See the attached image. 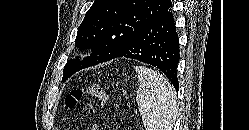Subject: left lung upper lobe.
<instances>
[{
  "label": "left lung upper lobe",
  "mask_w": 249,
  "mask_h": 130,
  "mask_svg": "<svg viewBox=\"0 0 249 130\" xmlns=\"http://www.w3.org/2000/svg\"><path fill=\"white\" fill-rule=\"evenodd\" d=\"M171 7L170 0H95L75 39L77 47L92 48V53L83 60H69L62 81L81 69L111 60L138 31Z\"/></svg>",
  "instance_id": "5c2ea615"
}]
</instances>
